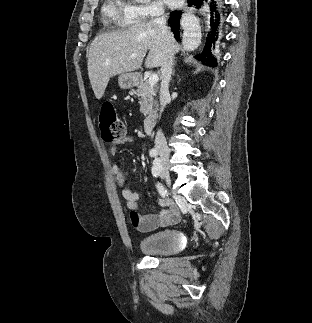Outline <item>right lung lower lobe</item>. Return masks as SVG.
<instances>
[{"label":"right lung lower lobe","instance_id":"1","mask_svg":"<svg viewBox=\"0 0 312 323\" xmlns=\"http://www.w3.org/2000/svg\"><path fill=\"white\" fill-rule=\"evenodd\" d=\"M208 0H187L188 7L195 9H203L208 15L210 22L207 24V31L204 33L207 35L205 37V46L201 54H198L202 62L210 65L215 63V57L212 55V48H215V43L218 40V36L221 30V15L220 7L215 4L214 0L212 2H207ZM182 18L181 11H173L170 13L169 25L173 31L175 38L179 40L180 36V20Z\"/></svg>","mask_w":312,"mask_h":323}]
</instances>
